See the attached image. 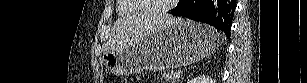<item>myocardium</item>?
Instances as JSON below:
<instances>
[{
  "mask_svg": "<svg viewBox=\"0 0 307 83\" xmlns=\"http://www.w3.org/2000/svg\"><path fill=\"white\" fill-rule=\"evenodd\" d=\"M133 3L136 4V6L142 10L143 12H147L153 15H162L168 13L174 4L178 2V0H171L169 3H167L165 6H162L156 10H149L143 3V0H131Z\"/></svg>",
  "mask_w": 307,
  "mask_h": 83,
  "instance_id": "myocardium-1",
  "label": "myocardium"
}]
</instances>
